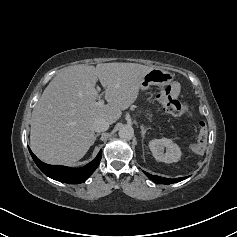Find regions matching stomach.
<instances>
[{
	"mask_svg": "<svg viewBox=\"0 0 237 237\" xmlns=\"http://www.w3.org/2000/svg\"><path fill=\"white\" fill-rule=\"evenodd\" d=\"M173 79V73L160 68H153L144 75L140 88L146 90L151 85L165 86L170 84Z\"/></svg>",
	"mask_w": 237,
	"mask_h": 237,
	"instance_id": "obj_1",
	"label": "stomach"
}]
</instances>
